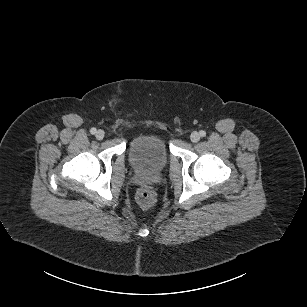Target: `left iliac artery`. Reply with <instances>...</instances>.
Returning <instances> with one entry per match:
<instances>
[{"label":"left iliac artery","instance_id":"left-iliac-artery-1","mask_svg":"<svg viewBox=\"0 0 307 307\" xmlns=\"http://www.w3.org/2000/svg\"><path fill=\"white\" fill-rule=\"evenodd\" d=\"M199 134H200L201 137H205L206 136V132L204 130H201L199 132Z\"/></svg>","mask_w":307,"mask_h":307}]
</instances>
